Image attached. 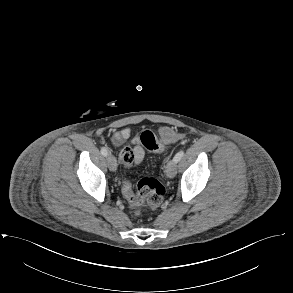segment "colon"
Segmentation results:
<instances>
[{"label": "colon", "instance_id": "obj_1", "mask_svg": "<svg viewBox=\"0 0 293 293\" xmlns=\"http://www.w3.org/2000/svg\"><path fill=\"white\" fill-rule=\"evenodd\" d=\"M140 142L151 153L164 151L163 143L150 130H145L140 135ZM164 185L153 177H144L137 183V191L133 192L130 182H124L122 192L132 207H139L147 203L152 208L160 206L165 196Z\"/></svg>", "mask_w": 293, "mask_h": 293}]
</instances>
